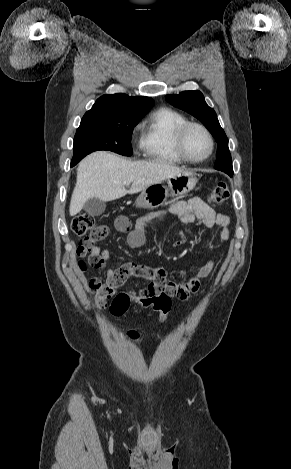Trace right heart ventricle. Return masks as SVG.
Here are the masks:
<instances>
[{
  "label": "right heart ventricle",
  "instance_id": "right-heart-ventricle-1",
  "mask_svg": "<svg viewBox=\"0 0 291 469\" xmlns=\"http://www.w3.org/2000/svg\"><path fill=\"white\" fill-rule=\"evenodd\" d=\"M187 122L186 117L167 107L153 111L143 122L140 147L143 155L152 161L164 164H182L175 147V133Z\"/></svg>",
  "mask_w": 291,
  "mask_h": 469
}]
</instances>
